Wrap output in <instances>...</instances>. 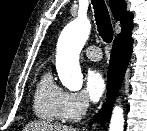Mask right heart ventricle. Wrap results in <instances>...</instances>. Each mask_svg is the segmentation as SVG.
Wrapping results in <instances>:
<instances>
[{
	"label": "right heart ventricle",
	"instance_id": "e07e8e85",
	"mask_svg": "<svg viewBox=\"0 0 147 131\" xmlns=\"http://www.w3.org/2000/svg\"><path fill=\"white\" fill-rule=\"evenodd\" d=\"M64 91L54 82L50 71L39 79L33 99V110L37 117L46 121L62 120L60 103Z\"/></svg>",
	"mask_w": 147,
	"mask_h": 131
}]
</instances>
